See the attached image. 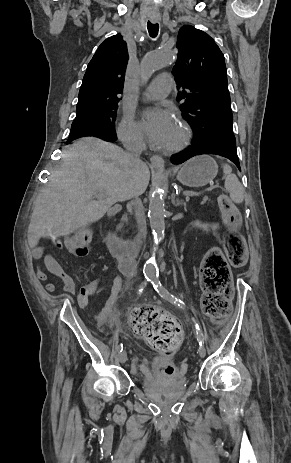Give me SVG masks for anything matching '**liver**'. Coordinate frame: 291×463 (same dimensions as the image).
<instances>
[{
  "label": "liver",
  "mask_w": 291,
  "mask_h": 463,
  "mask_svg": "<svg viewBox=\"0 0 291 463\" xmlns=\"http://www.w3.org/2000/svg\"><path fill=\"white\" fill-rule=\"evenodd\" d=\"M148 166L132 165L117 145L93 137L73 143L38 195L28 230L34 247L41 237L58 238L100 220L112 205L144 193ZM96 195L97 199H94Z\"/></svg>",
  "instance_id": "liver-1"
}]
</instances>
